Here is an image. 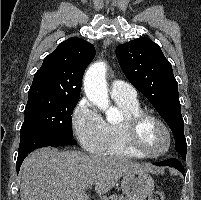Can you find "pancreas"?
Wrapping results in <instances>:
<instances>
[{
	"instance_id": "pancreas-1",
	"label": "pancreas",
	"mask_w": 201,
	"mask_h": 200,
	"mask_svg": "<svg viewBox=\"0 0 201 200\" xmlns=\"http://www.w3.org/2000/svg\"><path fill=\"white\" fill-rule=\"evenodd\" d=\"M104 200H124V198L119 195H110L109 197H105Z\"/></svg>"
}]
</instances>
